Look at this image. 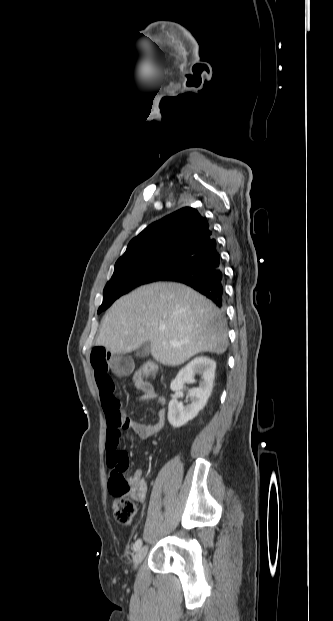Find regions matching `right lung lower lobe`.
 <instances>
[{
	"instance_id": "obj_1",
	"label": "right lung lower lobe",
	"mask_w": 333,
	"mask_h": 621,
	"mask_svg": "<svg viewBox=\"0 0 333 621\" xmlns=\"http://www.w3.org/2000/svg\"><path fill=\"white\" fill-rule=\"evenodd\" d=\"M162 281L186 284L205 295L218 307H223L224 273L216 240L211 239L186 257L176 271Z\"/></svg>"
}]
</instances>
